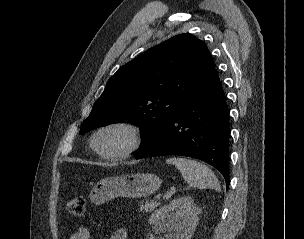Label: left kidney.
Segmentation results:
<instances>
[{"instance_id":"1","label":"left kidney","mask_w":304,"mask_h":239,"mask_svg":"<svg viewBox=\"0 0 304 239\" xmlns=\"http://www.w3.org/2000/svg\"><path fill=\"white\" fill-rule=\"evenodd\" d=\"M199 213L200 209L191 197L183 196L155 211L148 223L154 230L168 233L167 239H190L196 229Z\"/></svg>"}]
</instances>
